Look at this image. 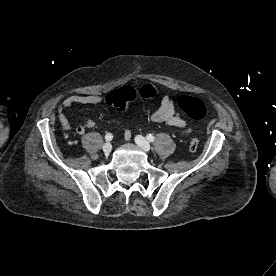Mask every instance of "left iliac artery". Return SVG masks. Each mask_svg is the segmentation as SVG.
<instances>
[{"mask_svg": "<svg viewBox=\"0 0 276 276\" xmlns=\"http://www.w3.org/2000/svg\"><path fill=\"white\" fill-rule=\"evenodd\" d=\"M154 136L152 134H148L147 135V140L150 141V142H153L154 141Z\"/></svg>", "mask_w": 276, "mask_h": 276, "instance_id": "left-iliac-artery-1", "label": "left iliac artery"}]
</instances>
